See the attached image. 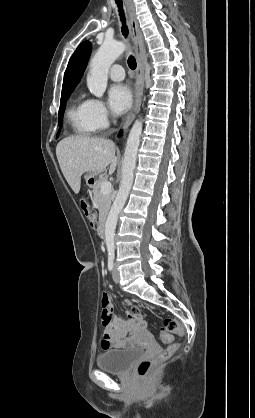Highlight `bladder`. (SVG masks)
<instances>
[{"label":"bladder","mask_w":255,"mask_h":418,"mask_svg":"<svg viewBox=\"0 0 255 418\" xmlns=\"http://www.w3.org/2000/svg\"><path fill=\"white\" fill-rule=\"evenodd\" d=\"M141 354L142 349L137 347L112 349L99 354L96 363L97 366L104 371L125 373Z\"/></svg>","instance_id":"1"}]
</instances>
